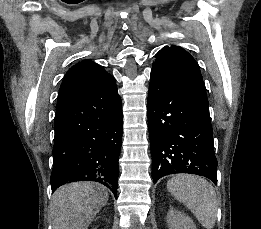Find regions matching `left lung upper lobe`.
<instances>
[{"label": "left lung upper lobe", "mask_w": 261, "mask_h": 229, "mask_svg": "<svg viewBox=\"0 0 261 229\" xmlns=\"http://www.w3.org/2000/svg\"><path fill=\"white\" fill-rule=\"evenodd\" d=\"M155 57V66L179 73L201 75L197 62L181 47L166 46Z\"/></svg>", "instance_id": "obj_1"}]
</instances>
